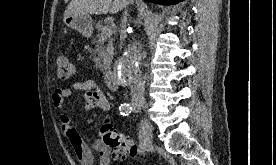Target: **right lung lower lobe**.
Listing matches in <instances>:
<instances>
[{
    "instance_id": "1",
    "label": "right lung lower lobe",
    "mask_w": 276,
    "mask_h": 165,
    "mask_svg": "<svg viewBox=\"0 0 276 165\" xmlns=\"http://www.w3.org/2000/svg\"><path fill=\"white\" fill-rule=\"evenodd\" d=\"M147 1L157 3V4L171 5V4H177L182 0H147Z\"/></svg>"
}]
</instances>
